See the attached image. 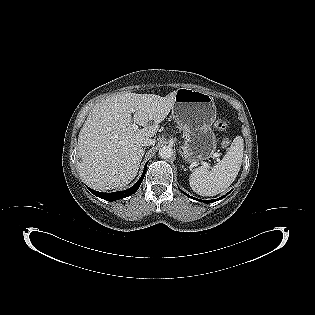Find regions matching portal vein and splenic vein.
<instances>
[{
	"label": "portal vein and splenic vein",
	"mask_w": 315,
	"mask_h": 315,
	"mask_svg": "<svg viewBox=\"0 0 315 315\" xmlns=\"http://www.w3.org/2000/svg\"><path fill=\"white\" fill-rule=\"evenodd\" d=\"M131 112H133V109H131ZM132 127L134 128V129H137L138 128V125H136L135 123L132 125Z\"/></svg>",
	"instance_id": "obj_1"
}]
</instances>
